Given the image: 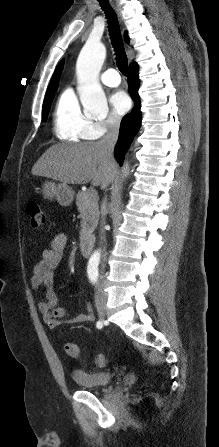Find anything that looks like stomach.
<instances>
[{
	"label": "stomach",
	"instance_id": "stomach-1",
	"mask_svg": "<svg viewBox=\"0 0 219 447\" xmlns=\"http://www.w3.org/2000/svg\"><path fill=\"white\" fill-rule=\"evenodd\" d=\"M44 198L52 200L55 198L62 206H69L74 199V191L65 183L46 181L42 186Z\"/></svg>",
	"mask_w": 219,
	"mask_h": 447
}]
</instances>
